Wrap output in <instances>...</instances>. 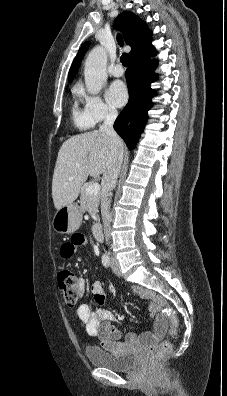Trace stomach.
I'll return each instance as SVG.
<instances>
[{"label":"stomach","mask_w":227,"mask_h":396,"mask_svg":"<svg viewBox=\"0 0 227 396\" xmlns=\"http://www.w3.org/2000/svg\"><path fill=\"white\" fill-rule=\"evenodd\" d=\"M81 221L82 213L77 204H69L57 210L52 226L60 234H70L80 227Z\"/></svg>","instance_id":"1"}]
</instances>
